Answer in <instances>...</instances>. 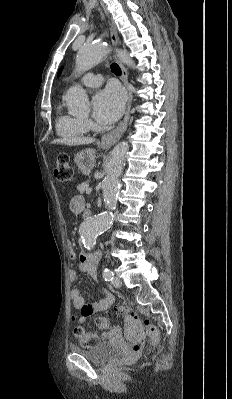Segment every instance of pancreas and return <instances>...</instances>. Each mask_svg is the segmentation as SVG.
I'll list each match as a JSON object with an SVG mask.
<instances>
[{
  "label": "pancreas",
  "instance_id": "cf45deb5",
  "mask_svg": "<svg viewBox=\"0 0 232 399\" xmlns=\"http://www.w3.org/2000/svg\"><path fill=\"white\" fill-rule=\"evenodd\" d=\"M88 184H89V182H83V184H79V186H77V190H78L79 194H84V192H86V190L88 188Z\"/></svg>",
  "mask_w": 232,
  "mask_h": 399
}]
</instances>
